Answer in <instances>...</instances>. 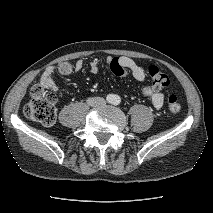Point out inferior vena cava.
<instances>
[{
    "mask_svg": "<svg viewBox=\"0 0 213 213\" xmlns=\"http://www.w3.org/2000/svg\"><path fill=\"white\" fill-rule=\"evenodd\" d=\"M87 104L93 107H99L104 106L106 104V101L102 97H93L87 99Z\"/></svg>",
    "mask_w": 213,
    "mask_h": 213,
    "instance_id": "1",
    "label": "inferior vena cava"
}]
</instances>
